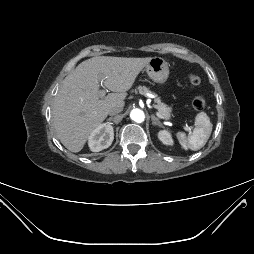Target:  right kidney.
Here are the masks:
<instances>
[{
	"instance_id": "right-kidney-1",
	"label": "right kidney",
	"mask_w": 254,
	"mask_h": 254,
	"mask_svg": "<svg viewBox=\"0 0 254 254\" xmlns=\"http://www.w3.org/2000/svg\"><path fill=\"white\" fill-rule=\"evenodd\" d=\"M114 139V130L111 124H100L95 128L88 138L91 151L99 152L108 148Z\"/></svg>"
}]
</instances>
